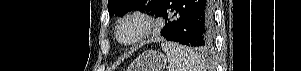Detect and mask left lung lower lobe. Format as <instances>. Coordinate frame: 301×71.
I'll return each mask as SVG.
<instances>
[{
	"label": "left lung lower lobe",
	"instance_id": "obj_1",
	"mask_svg": "<svg viewBox=\"0 0 301 71\" xmlns=\"http://www.w3.org/2000/svg\"><path fill=\"white\" fill-rule=\"evenodd\" d=\"M156 17L167 20L161 35L167 41L199 49L213 43L211 0H164Z\"/></svg>",
	"mask_w": 301,
	"mask_h": 71
}]
</instances>
